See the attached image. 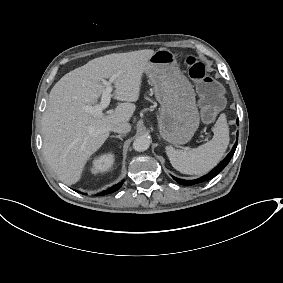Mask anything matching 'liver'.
Instances as JSON below:
<instances>
[{
    "mask_svg": "<svg viewBox=\"0 0 283 283\" xmlns=\"http://www.w3.org/2000/svg\"><path fill=\"white\" fill-rule=\"evenodd\" d=\"M153 54V50L144 49L95 58L65 74L54 85L42 118V149L60 181L75 184L111 128L130 120L136 109L131 102L139 98L141 77ZM114 74H118L114 98L125 102L107 115L87 113L86 106L95 105L105 90L102 79Z\"/></svg>",
    "mask_w": 283,
    "mask_h": 283,
    "instance_id": "6515ba94",
    "label": "liver"
}]
</instances>
